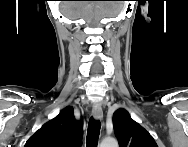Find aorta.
<instances>
[{
    "label": "aorta",
    "instance_id": "1",
    "mask_svg": "<svg viewBox=\"0 0 188 147\" xmlns=\"http://www.w3.org/2000/svg\"><path fill=\"white\" fill-rule=\"evenodd\" d=\"M101 147H117L118 146V142L116 139L112 138V137H108L102 140Z\"/></svg>",
    "mask_w": 188,
    "mask_h": 147
}]
</instances>
